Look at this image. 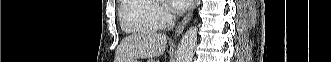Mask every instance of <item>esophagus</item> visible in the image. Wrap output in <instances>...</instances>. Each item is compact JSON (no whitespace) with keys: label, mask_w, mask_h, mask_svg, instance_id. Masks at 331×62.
Masks as SVG:
<instances>
[{"label":"esophagus","mask_w":331,"mask_h":62,"mask_svg":"<svg viewBox=\"0 0 331 62\" xmlns=\"http://www.w3.org/2000/svg\"><path fill=\"white\" fill-rule=\"evenodd\" d=\"M196 1L197 0H193L192 4L187 12V14L185 15V17L182 19V21L179 23L176 31H175V37H178L184 30V28L186 27V25L188 24L189 20L191 19L192 15H193V11L196 5Z\"/></svg>","instance_id":"1"}]
</instances>
